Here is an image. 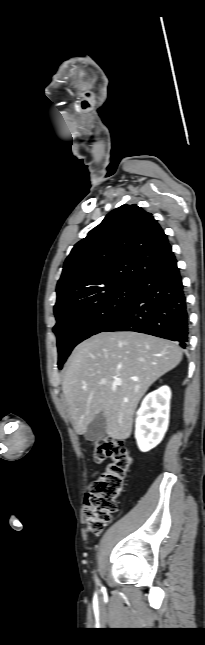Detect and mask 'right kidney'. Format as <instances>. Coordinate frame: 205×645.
Segmentation results:
<instances>
[{
    "label": "right kidney",
    "mask_w": 205,
    "mask_h": 645,
    "mask_svg": "<svg viewBox=\"0 0 205 645\" xmlns=\"http://www.w3.org/2000/svg\"><path fill=\"white\" fill-rule=\"evenodd\" d=\"M171 390L168 386L149 393L137 411L135 438L142 452L156 447L163 439L169 424Z\"/></svg>",
    "instance_id": "right-kidney-1"
}]
</instances>
